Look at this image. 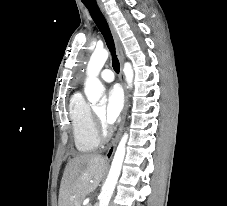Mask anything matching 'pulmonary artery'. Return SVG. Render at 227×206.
<instances>
[{"label": "pulmonary artery", "mask_w": 227, "mask_h": 206, "mask_svg": "<svg viewBox=\"0 0 227 206\" xmlns=\"http://www.w3.org/2000/svg\"><path fill=\"white\" fill-rule=\"evenodd\" d=\"M100 78L105 81V82H112L114 80V74L112 72V70L110 69H104L101 73H100Z\"/></svg>", "instance_id": "e3ab8cb5"}]
</instances>
